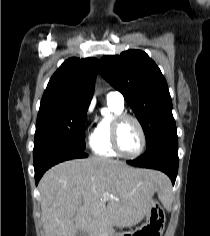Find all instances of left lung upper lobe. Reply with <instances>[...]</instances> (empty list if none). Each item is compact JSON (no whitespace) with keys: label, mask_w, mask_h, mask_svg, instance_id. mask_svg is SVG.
Wrapping results in <instances>:
<instances>
[{"label":"left lung upper lobe","mask_w":210,"mask_h":236,"mask_svg":"<svg viewBox=\"0 0 210 236\" xmlns=\"http://www.w3.org/2000/svg\"><path fill=\"white\" fill-rule=\"evenodd\" d=\"M99 69L134 111L144 130L147 148L161 136L176 132L166 80L145 52L127 50L120 55L104 56Z\"/></svg>","instance_id":"obj_1"}]
</instances>
